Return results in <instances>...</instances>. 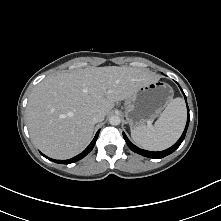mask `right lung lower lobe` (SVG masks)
I'll use <instances>...</instances> for the list:
<instances>
[{"mask_svg":"<svg viewBox=\"0 0 221 221\" xmlns=\"http://www.w3.org/2000/svg\"><path fill=\"white\" fill-rule=\"evenodd\" d=\"M98 134H99V131L96 133L94 139L89 144V146L82 153H80L79 155H77V156H75V157H73L71 159H68V160H54V159L48 158L47 156L43 155L42 153L41 154L44 157L48 158L49 160H52L53 162L59 163V164H70V163L77 162V161L81 160L82 158H84L93 149V147L95 145V142H96V140L98 138Z\"/></svg>","mask_w":221,"mask_h":221,"instance_id":"98d812e1","label":"right lung lower lobe"}]
</instances>
